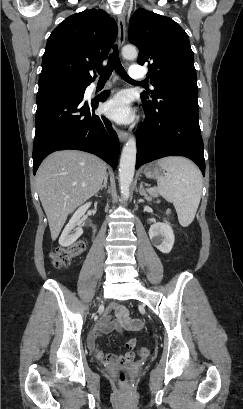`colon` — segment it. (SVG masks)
<instances>
[{
  "mask_svg": "<svg viewBox=\"0 0 243 409\" xmlns=\"http://www.w3.org/2000/svg\"><path fill=\"white\" fill-rule=\"evenodd\" d=\"M86 248V241L80 240L72 244L67 248H57L53 253V265L56 268L66 267L70 264L72 258L80 255ZM138 353L142 357L149 356V349L146 347H140ZM118 379L120 382L126 381V373L121 370L118 372Z\"/></svg>",
  "mask_w": 243,
  "mask_h": 409,
  "instance_id": "5ec220e1",
  "label": "colon"
}]
</instances>
